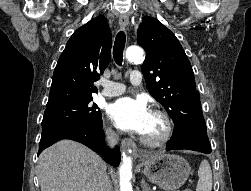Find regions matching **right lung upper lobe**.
Here are the masks:
<instances>
[{"label":"right lung upper lobe","mask_w":251,"mask_h":191,"mask_svg":"<svg viewBox=\"0 0 251 191\" xmlns=\"http://www.w3.org/2000/svg\"><path fill=\"white\" fill-rule=\"evenodd\" d=\"M111 56V32L100 15L77 29L68 40L54 70L46 107L92 98Z\"/></svg>","instance_id":"obj_1"}]
</instances>
